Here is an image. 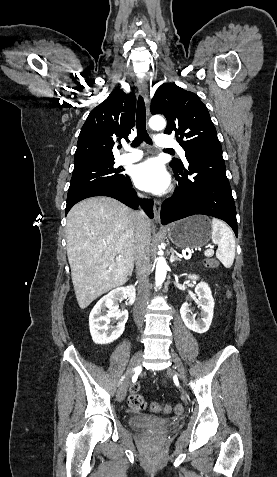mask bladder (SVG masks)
I'll list each match as a JSON object with an SVG mask.
<instances>
[{"mask_svg": "<svg viewBox=\"0 0 277 477\" xmlns=\"http://www.w3.org/2000/svg\"><path fill=\"white\" fill-rule=\"evenodd\" d=\"M129 425L136 429L166 426L169 422L163 418L148 414H133L128 419Z\"/></svg>", "mask_w": 277, "mask_h": 477, "instance_id": "1", "label": "bladder"}]
</instances>
